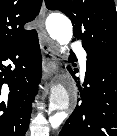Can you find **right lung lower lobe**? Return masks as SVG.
<instances>
[{
  "label": "right lung lower lobe",
  "instance_id": "obj_1",
  "mask_svg": "<svg viewBox=\"0 0 117 136\" xmlns=\"http://www.w3.org/2000/svg\"><path fill=\"white\" fill-rule=\"evenodd\" d=\"M41 65L36 32L0 50V136H25Z\"/></svg>",
  "mask_w": 117,
  "mask_h": 136
}]
</instances>
